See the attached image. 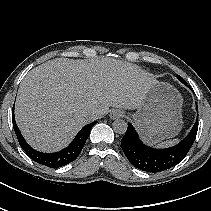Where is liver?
<instances>
[{
  "label": "liver",
  "instance_id": "1",
  "mask_svg": "<svg viewBox=\"0 0 211 211\" xmlns=\"http://www.w3.org/2000/svg\"><path fill=\"white\" fill-rule=\"evenodd\" d=\"M155 78L137 66L111 58H56L22 80L15 118L27 142L43 152L68 145L76 133L109 107L138 109Z\"/></svg>",
  "mask_w": 211,
  "mask_h": 211
}]
</instances>
